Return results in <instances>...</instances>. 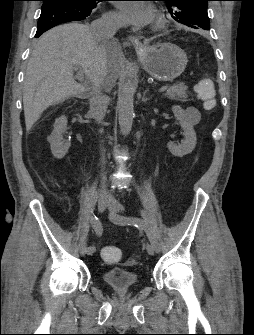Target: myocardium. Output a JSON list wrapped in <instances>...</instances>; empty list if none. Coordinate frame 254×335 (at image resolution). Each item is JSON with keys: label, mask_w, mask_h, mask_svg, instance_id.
<instances>
[{"label": "myocardium", "mask_w": 254, "mask_h": 335, "mask_svg": "<svg viewBox=\"0 0 254 335\" xmlns=\"http://www.w3.org/2000/svg\"><path fill=\"white\" fill-rule=\"evenodd\" d=\"M162 24H163V21L162 20H158L157 26L160 27V26H162Z\"/></svg>", "instance_id": "myocardium-1"}]
</instances>
